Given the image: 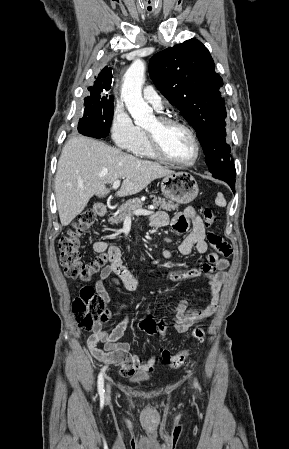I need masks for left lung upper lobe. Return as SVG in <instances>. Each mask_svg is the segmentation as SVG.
<instances>
[{
	"label": "left lung upper lobe",
	"instance_id": "1",
	"mask_svg": "<svg viewBox=\"0 0 289 449\" xmlns=\"http://www.w3.org/2000/svg\"><path fill=\"white\" fill-rule=\"evenodd\" d=\"M150 76L157 89L172 102L197 132L206 164L217 179H235V166L226 143V109L208 49L190 39L154 55Z\"/></svg>",
	"mask_w": 289,
	"mask_h": 449
}]
</instances>
